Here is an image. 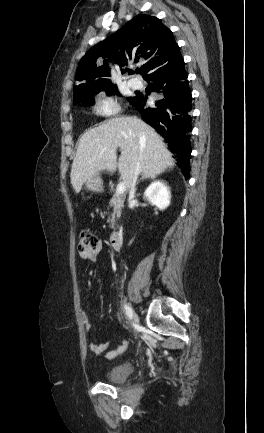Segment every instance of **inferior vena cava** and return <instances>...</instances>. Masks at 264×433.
<instances>
[{
	"label": "inferior vena cava",
	"instance_id": "602c4592",
	"mask_svg": "<svg viewBox=\"0 0 264 433\" xmlns=\"http://www.w3.org/2000/svg\"><path fill=\"white\" fill-rule=\"evenodd\" d=\"M141 173V166L140 163H137L135 171L132 175L131 182H130V191H129V202H131L135 196L136 191V182L139 174Z\"/></svg>",
	"mask_w": 264,
	"mask_h": 433
}]
</instances>
